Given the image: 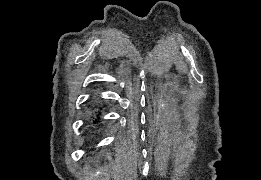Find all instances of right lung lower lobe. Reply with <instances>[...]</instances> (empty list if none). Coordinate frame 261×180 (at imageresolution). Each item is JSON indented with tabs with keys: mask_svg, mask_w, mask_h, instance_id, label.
<instances>
[{
	"mask_svg": "<svg viewBox=\"0 0 261 180\" xmlns=\"http://www.w3.org/2000/svg\"><path fill=\"white\" fill-rule=\"evenodd\" d=\"M95 106H97V105H95ZM99 119H100V113H98V114L96 115L95 119L93 120V123H94V124L98 123V122H99Z\"/></svg>",
	"mask_w": 261,
	"mask_h": 180,
	"instance_id": "obj_1",
	"label": "right lung lower lobe"
}]
</instances>
